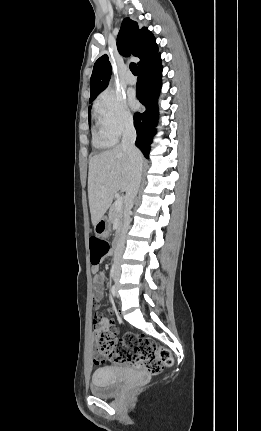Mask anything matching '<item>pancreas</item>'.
<instances>
[{"mask_svg": "<svg viewBox=\"0 0 261 431\" xmlns=\"http://www.w3.org/2000/svg\"><path fill=\"white\" fill-rule=\"evenodd\" d=\"M123 219V208L116 209L115 204H112L109 210V221L110 223H116L117 227L120 228Z\"/></svg>", "mask_w": 261, "mask_h": 431, "instance_id": "pancreas-1", "label": "pancreas"}]
</instances>
